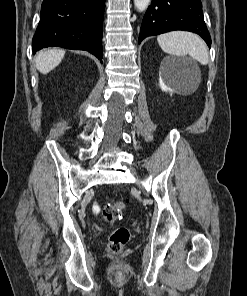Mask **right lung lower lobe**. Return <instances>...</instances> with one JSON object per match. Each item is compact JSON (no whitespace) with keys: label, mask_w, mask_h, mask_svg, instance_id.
Masks as SVG:
<instances>
[{"label":"right lung lower lobe","mask_w":247,"mask_h":296,"mask_svg":"<svg viewBox=\"0 0 247 296\" xmlns=\"http://www.w3.org/2000/svg\"><path fill=\"white\" fill-rule=\"evenodd\" d=\"M104 9L105 0H43L33 53L56 46L86 50L102 59Z\"/></svg>","instance_id":"right-lung-lower-lobe-1"}]
</instances>
